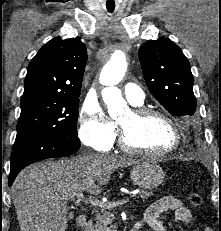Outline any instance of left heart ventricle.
I'll use <instances>...</instances> for the list:
<instances>
[{
  "label": "left heart ventricle",
  "mask_w": 221,
  "mask_h": 231,
  "mask_svg": "<svg viewBox=\"0 0 221 231\" xmlns=\"http://www.w3.org/2000/svg\"><path fill=\"white\" fill-rule=\"evenodd\" d=\"M118 123L126 128L130 139L141 148L162 152L170 149L175 143L174 130L163 118L154 116L136 122L129 111Z\"/></svg>",
  "instance_id": "1"
}]
</instances>
